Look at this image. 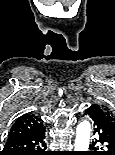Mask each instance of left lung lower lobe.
<instances>
[{
    "instance_id": "obj_1",
    "label": "left lung lower lobe",
    "mask_w": 115,
    "mask_h": 155,
    "mask_svg": "<svg viewBox=\"0 0 115 155\" xmlns=\"http://www.w3.org/2000/svg\"><path fill=\"white\" fill-rule=\"evenodd\" d=\"M86 115L92 120L94 131L98 137L96 142H93L92 147L99 142L104 145L107 152H102L101 154L85 152L84 155H115V132L112 131L103 108L93 104L86 110Z\"/></svg>"
}]
</instances>
